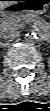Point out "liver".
I'll use <instances>...</instances> for the list:
<instances>
[{"label":"liver","mask_w":50,"mask_h":111,"mask_svg":"<svg viewBox=\"0 0 50 111\" xmlns=\"http://www.w3.org/2000/svg\"><path fill=\"white\" fill-rule=\"evenodd\" d=\"M13 4H15V2L11 1V0L1 1L0 2V8L5 9V8H7V7H9V6L13 5Z\"/></svg>","instance_id":"6515ba94"}]
</instances>
